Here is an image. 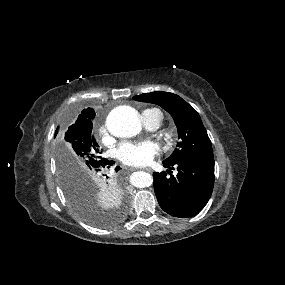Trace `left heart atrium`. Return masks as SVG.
<instances>
[{"label":"left heart atrium","mask_w":285,"mask_h":285,"mask_svg":"<svg viewBox=\"0 0 285 285\" xmlns=\"http://www.w3.org/2000/svg\"><path fill=\"white\" fill-rule=\"evenodd\" d=\"M157 153V145L151 141L122 142L115 150L122 163L137 167L148 165Z\"/></svg>","instance_id":"1"}]
</instances>
